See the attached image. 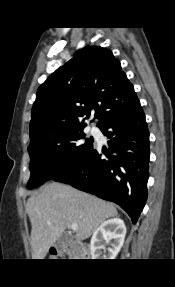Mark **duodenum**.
Segmentation results:
<instances>
[{
  "label": "duodenum",
  "instance_id": "1",
  "mask_svg": "<svg viewBox=\"0 0 175 287\" xmlns=\"http://www.w3.org/2000/svg\"><path fill=\"white\" fill-rule=\"evenodd\" d=\"M72 252L74 255H80L82 250L78 249L77 247H72Z\"/></svg>",
  "mask_w": 175,
  "mask_h": 287
}]
</instances>
